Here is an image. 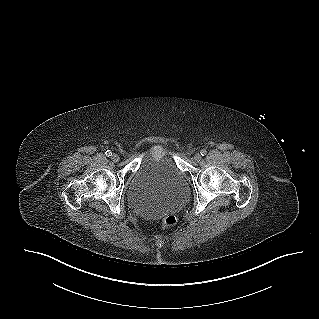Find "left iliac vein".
<instances>
[{"instance_id":"4c4485c4","label":"left iliac vein","mask_w":319,"mask_h":319,"mask_svg":"<svg viewBox=\"0 0 319 319\" xmlns=\"http://www.w3.org/2000/svg\"><path fill=\"white\" fill-rule=\"evenodd\" d=\"M193 160L195 162H199L201 160V155L199 153H196L194 156H193Z\"/></svg>"}]
</instances>
